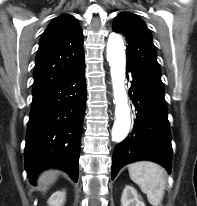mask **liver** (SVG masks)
<instances>
[{
    "label": "liver",
    "mask_w": 197,
    "mask_h": 206,
    "mask_svg": "<svg viewBox=\"0 0 197 206\" xmlns=\"http://www.w3.org/2000/svg\"><path fill=\"white\" fill-rule=\"evenodd\" d=\"M57 178V172L54 170H48L43 172L38 179L40 190L45 193L48 187L54 183Z\"/></svg>",
    "instance_id": "6515ba94"
}]
</instances>
